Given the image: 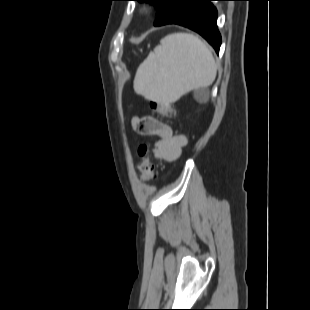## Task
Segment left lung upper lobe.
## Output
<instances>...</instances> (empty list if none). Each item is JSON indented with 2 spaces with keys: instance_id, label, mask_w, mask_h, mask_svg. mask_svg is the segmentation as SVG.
<instances>
[{
  "instance_id": "5c2ea615",
  "label": "left lung upper lobe",
  "mask_w": 310,
  "mask_h": 310,
  "mask_svg": "<svg viewBox=\"0 0 310 310\" xmlns=\"http://www.w3.org/2000/svg\"><path fill=\"white\" fill-rule=\"evenodd\" d=\"M140 2H150L156 5L159 9L157 18L155 20V26H162L170 24L180 10L185 5L186 0H138Z\"/></svg>"
}]
</instances>
